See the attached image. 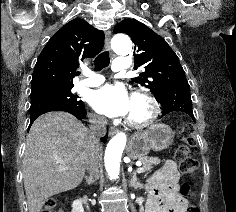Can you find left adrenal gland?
<instances>
[{
    "label": "left adrenal gland",
    "instance_id": "a2214340",
    "mask_svg": "<svg viewBox=\"0 0 236 212\" xmlns=\"http://www.w3.org/2000/svg\"><path fill=\"white\" fill-rule=\"evenodd\" d=\"M130 186L134 187L135 189L140 187V183L137 180L136 172L132 173V178H131V181H130Z\"/></svg>",
    "mask_w": 236,
    "mask_h": 212
}]
</instances>
